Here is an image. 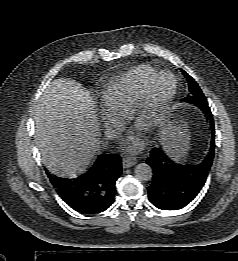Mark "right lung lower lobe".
I'll use <instances>...</instances> for the list:
<instances>
[{"instance_id": "98d812e1", "label": "right lung lower lobe", "mask_w": 238, "mask_h": 261, "mask_svg": "<svg viewBox=\"0 0 238 261\" xmlns=\"http://www.w3.org/2000/svg\"><path fill=\"white\" fill-rule=\"evenodd\" d=\"M121 173V158L116 154L100 155L88 171L78 176L58 177L47 172L60 197L83 214L100 213L113 204Z\"/></svg>"}]
</instances>
